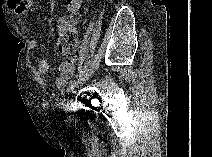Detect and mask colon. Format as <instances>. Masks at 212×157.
<instances>
[{"label": "colon", "mask_w": 212, "mask_h": 157, "mask_svg": "<svg viewBox=\"0 0 212 157\" xmlns=\"http://www.w3.org/2000/svg\"><path fill=\"white\" fill-rule=\"evenodd\" d=\"M70 25L59 34L57 47L61 55L67 59H76L79 54L77 25L81 21L79 13H72L69 16Z\"/></svg>", "instance_id": "obj_1"}]
</instances>
